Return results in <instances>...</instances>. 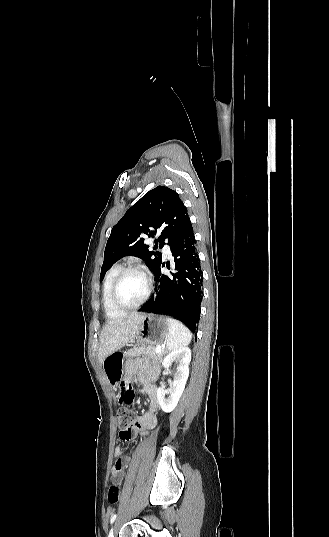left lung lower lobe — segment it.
Returning <instances> with one entry per match:
<instances>
[{
  "label": "left lung lower lobe",
  "mask_w": 329,
  "mask_h": 537,
  "mask_svg": "<svg viewBox=\"0 0 329 537\" xmlns=\"http://www.w3.org/2000/svg\"><path fill=\"white\" fill-rule=\"evenodd\" d=\"M170 248L176 271L166 276L161 273L159 264L153 272L154 295L143 305L142 311L171 315L195 333L200 318L202 278L191 222ZM166 265L170 269L169 264Z\"/></svg>",
  "instance_id": "1"
}]
</instances>
